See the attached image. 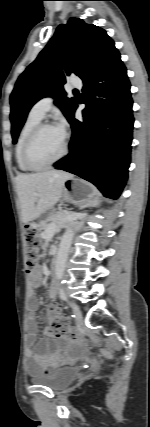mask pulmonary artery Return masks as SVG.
<instances>
[{"label":"pulmonary artery","mask_w":150,"mask_h":427,"mask_svg":"<svg viewBox=\"0 0 150 427\" xmlns=\"http://www.w3.org/2000/svg\"><path fill=\"white\" fill-rule=\"evenodd\" d=\"M71 87L81 88L82 81L78 78H74L70 81ZM54 99L53 97L47 96L38 100L32 107L31 111L40 118H44L47 112L52 108Z\"/></svg>","instance_id":"obj_1"}]
</instances>
